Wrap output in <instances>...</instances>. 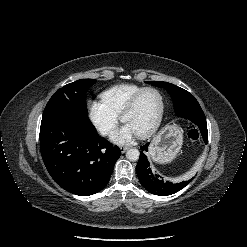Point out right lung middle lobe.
Returning a JSON list of instances; mask_svg holds the SVG:
<instances>
[{
  "mask_svg": "<svg viewBox=\"0 0 247 247\" xmlns=\"http://www.w3.org/2000/svg\"><path fill=\"white\" fill-rule=\"evenodd\" d=\"M96 83L95 79H80L57 90L48 101L46 107L64 106L76 112L88 114L86 93Z\"/></svg>",
  "mask_w": 247,
  "mask_h": 247,
  "instance_id": "1",
  "label": "right lung middle lobe"
}]
</instances>
